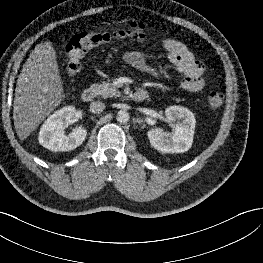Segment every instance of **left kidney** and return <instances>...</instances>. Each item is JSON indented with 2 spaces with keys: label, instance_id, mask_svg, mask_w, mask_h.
I'll return each instance as SVG.
<instances>
[{
  "label": "left kidney",
  "instance_id": "obj_1",
  "mask_svg": "<svg viewBox=\"0 0 263 263\" xmlns=\"http://www.w3.org/2000/svg\"><path fill=\"white\" fill-rule=\"evenodd\" d=\"M167 119L176 122L172 133H165L162 129H151L147 135L151 145L163 153H184L193 143L195 130L194 114L187 108L170 106L165 110Z\"/></svg>",
  "mask_w": 263,
  "mask_h": 263
}]
</instances>
